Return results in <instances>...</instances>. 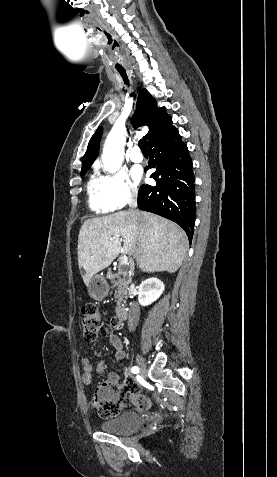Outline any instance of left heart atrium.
Returning a JSON list of instances; mask_svg holds the SVG:
<instances>
[{
	"mask_svg": "<svg viewBox=\"0 0 277 477\" xmlns=\"http://www.w3.org/2000/svg\"><path fill=\"white\" fill-rule=\"evenodd\" d=\"M132 175H133V178L135 179V181H139L140 178H141V171H140V169L134 168V169L132 170Z\"/></svg>",
	"mask_w": 277,
	"mask_h": 477,
	"instance_id": "39dd6f15",
	"label": "left heart atrium"
}]
</instances>
